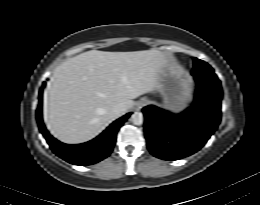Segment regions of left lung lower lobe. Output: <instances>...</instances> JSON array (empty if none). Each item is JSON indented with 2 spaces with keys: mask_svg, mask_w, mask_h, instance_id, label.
I'll return each mask as SVG.
<instances>
[{
  "mask_svg": "<svg viewBox=\"0 0 260 205\" xmlns=\"http://www.w3.org/2000/svg\"><path fill=\"white\" fill-rule=\"evenodd\" d=\"M197 90L193 105L180 115L155 106L143 108L150 152L163 160H178L201 149L221 119L222 89L218 79L193 75Z\"/></svg>",
  "mask_w": 260,
  "mask_h": 205,
  "instance_id": "left-lung-lower-lobe-1",
  "label": "left lung lower lobe"
}]
</instances>
